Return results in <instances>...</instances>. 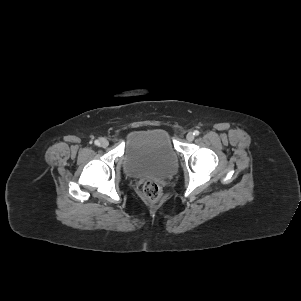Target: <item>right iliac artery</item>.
Returning a JSON list of instances; mask_svg holds the SVG:
<instances>
[{"label":"right iliac artery","mask_w":301,"mask_h":301,"mask_svg":"<svg viewBox=\"0 0 301 301\" xmlns=\"http://www.w3.org/2000/svg\"><path fill=\"white\" fill-rule=\"evenodd\" d=\"M95 145H99V140H95Z\"/></svg>","instance_id":"82829eb1"}]
</instances>
